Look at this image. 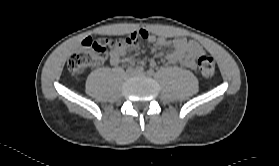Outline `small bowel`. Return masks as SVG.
<instances>
[{"label": "small bowel", "mask_w": 279, "mask_h": 166, "mask_svg": "<svg viewBox=\"0 0 279 166\" xmlns=\"http://www.w3.org/2000/svg\"><path fill=\"white\" fill-rule=\"evenodd\" d=\"M129 36L134 38V41L128 46L121 49L114 50L110 55V63L112 65H119L122 63H131L130 58H126L125 55L129 48L135 46L139 39L146 40L149 43H154L160 47H171L172 52L166 57L168 63H181L183 66L194 69L196 67L195 60L198 55L203 53V48L196 41L187 40L185 38H178L169 40L165 37H157L149 34L145 29H139ZM151 66H155L156 62L151 60Z\"/></svg>", "instance_id": "obj_1"}]
</instances>
